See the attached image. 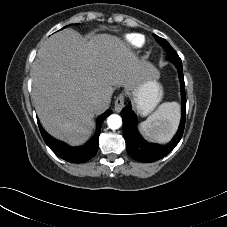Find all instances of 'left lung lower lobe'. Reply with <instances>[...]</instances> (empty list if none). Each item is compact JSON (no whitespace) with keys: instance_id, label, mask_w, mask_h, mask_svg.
Returning <instances> with one entry per match:
<instances>
[{"instance_id":"1","label":"left lung lower lobe","mask_w":227,"mask_h":227,"mask_svg":"<svg viewBox=\"0 0 227 227\" xmlns=\"http://www.w3.org/2000/svg\"><path fill=\"white\" fill-rule=\"evenodd\" d=\"M177 68L181 83L182 118L179 129L169 145L161 146L159 144L148 143L142 138L137 130V117L132 111L130 103L121 112L123 119V135L126 141L127 152L137 161L154 162L163 158L175 148L183 135L186 116L185 83L182 66Z\"/></svg>"}]
</instances>
